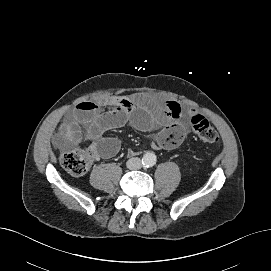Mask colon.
<instances>
[{
  "mask_svg": "<svg viewBox=\"0 0 271 271\" xmlns=\"http://www.w3.org/2000/svg\"><path fill=\"white\" fill-rule=\"evenodd\" d=\"M190 125L201 141L212 145L219 142L218 132L202 114H192ZM94 157L91 149H75L62 156L61 165L71 176L79 177L89 170Z\"/></svg>",
  "mask_w": 271,
  "mask_h": 271,
  "instance_id": "5ec220e1",
  "label": "colon"
}]
</instances>
